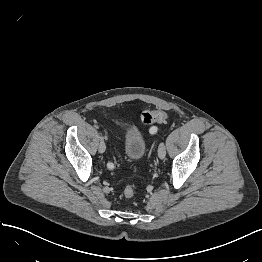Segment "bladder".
I'll return each instance as SVG.
<instances>
[{
  "label": "bladder",
  "instance_id": "bladder-1",
  "mask_svg": "<svg viewBox=\"0 0 262 262\" xmlns=\"http://www.w3.org/2000/svg\"><path fill=\"white\" fill-rule=\"evenodd\" d=\"M123 144L126 157L131 162L139 161L147 150L145 134L140 129L128 125H123Z\"/></svg>",
  "mask_w": 262,
  "mask_h": 262
}]
</instances>
